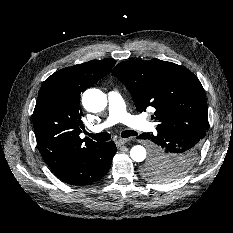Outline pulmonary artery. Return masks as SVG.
<instances>
[{
  "label": "pulmonary artery",
  "instance_id": "1",
  "mask_svg": "<svg viewBox=\"0 0 233 233\" xmlns=\"http://www.w3.org/2000/svg\"><path fill=\"white\" fill-rule=\"evenodd\" d=\"M121 122L137 131L150 132L154 130V125L144 118L131 115L126 111L124 100L118 91L108 93V117L95 126L90 127L93 133H98L114 124Z\"/></svg>",
  "mask_w": 233,
  "mask_h": 233
}]
</instances>
